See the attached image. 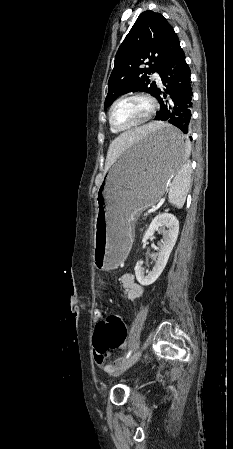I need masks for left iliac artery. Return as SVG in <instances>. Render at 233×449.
I'll return each mask as SVG.
<instances>
[{
  "label": "left iliac artery",
  "instance_id": "1",
  "mask_svg": "<svg viewBox=\"0 0 233 449\" xmlns=\"http://www.w3.org/2000/svg\"><path fill=\"white\" fill-rule=\"evenodd\" d=\"M132 353H133V349H130L128 351L127 355L125 356L124 360H127L131 356Z\"/></svg>",
  "mask_w": 233,
  "mask_h": 449
}]
</instances>
